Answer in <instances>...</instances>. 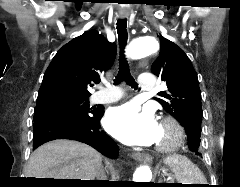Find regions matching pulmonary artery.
I'll list each match as a JSON object with an SVG mask.
<instances>
[{
    "label": "pulmonary artery",
    "mask_w": 240,
    "mask_h": 187,
    "mask_svg": "<svg viewBox=\"0 0 240 187\" xmlns=\"http://www.w3.org/2000/svg\"><path fill=\"white\" fill-rule=\"evenodd\" d=\"M140 88L143 91L149 92L155 89L156 82L152 75L142 74L138 78ZM113 89V90H112ZM109 90H112L111 92ZM123 93L116 87H109L106 93H96L92 96L94 103H111L119 100Z\"/></svg>",
    "instance_id": "obj_1"
}]
</instances>
